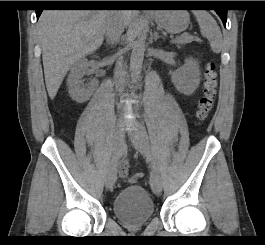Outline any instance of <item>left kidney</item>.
Wrapping results in <instances>:
<instances>
[{"label":"left kidney","mask_w":265,"mask_h":245,"mask_svg":"<svg viewBox=\"0 0 265 245\" xmlns=\"http://www.w3.org/2000/svg\"><path fill=\"white\" fill-rule=\"evenodd\" d=\"M199 63L188 58L185 64L172 74V82L176 89L184 95H192L200 84Z\"/></svg>","instance_id":"1"}]
</instances>
